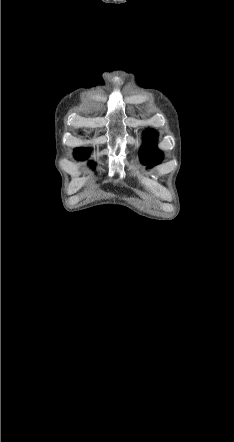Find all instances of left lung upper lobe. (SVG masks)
I'll use <instances>...</instances> for the list:
<instances>
[{
  "label": "left lung upper lobe",
  "instance_id": "1",
  "mask_svg": "<svg viewBox=\"0 0 234 442\" xmlns=\"http://www.w3.org/2000/svg\"><path fill=\"white\" fill-rule=\"evenodd\" d=\"M157 133L147 131L144 136V145L140 148V158L143 164L155 165L161 162L162 153L156 148Z\"/></svg>",
  "mask_w": 234,
  "mask_h": 442
}]
</instances>
